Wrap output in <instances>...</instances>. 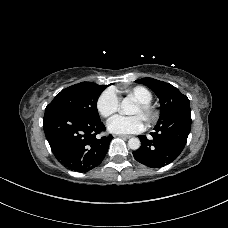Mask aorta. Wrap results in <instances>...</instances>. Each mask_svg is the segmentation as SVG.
I'll return each mask as SVG.
<instances>
[{
	"label": "aorta",
	"instance_id": "aorta-1",
	"mask_svg": "<svg viewBox=\"0 0 228 228\" xmlns=\"http://www.w3.org/2000/svg\"><path fill=\"white\" fill-rule=\"evenodd\" d=\"M132 107V103L128 98H124L121 103V112L123 114H129ZM128 146L132 150H137L140 147V140L138 138H131L128 141Z\"/></svg>",
	"mask_w": 228,
	"mask_h": 228
}]
</instances>
